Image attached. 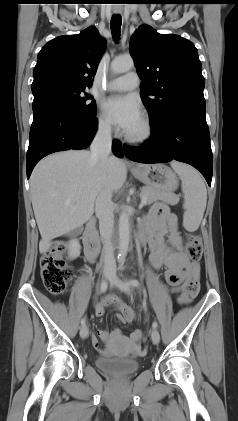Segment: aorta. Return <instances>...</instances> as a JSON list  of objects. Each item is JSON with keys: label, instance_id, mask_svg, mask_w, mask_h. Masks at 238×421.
Instances as JSON below:
<instances>
[{"label": "aorta", "instance_id": "obj_1", "mask_svg": "<svg viewBox=\"0 0 238 421\" xmlns=\"http://www.w3.org/2000/svg\"><path fill=\"white\" fill-rule=\"evenodd\" d=\"M134 67L133 59L127 58H116L111 63V70L115 74H121L129 71ZM130 240V225L129 216L126 212H122L119 216V259L124 260Z\"/></svg>", "mask_w": 238, "mask_h": 421}]
</instances>
